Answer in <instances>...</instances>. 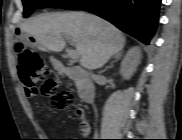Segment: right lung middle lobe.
Listing matches in <instances>:
<instances>
[{
	"mask_svg": "<svg viewBox=\"0 0 182 140\" xmlns=\"http://www.w3.org/2000/svg\"><path fill=\"white\" fill-rule=\"evenodd\" d=\"M94 1L95 0H23L24 17H28L37 8L52 7L79 10Z\"/></svg>",
	"mask_w": 182,
	"mask_h": 140,
	"instance_id": "right-lung-middle-lobe-1",
	"label": "right lung middle lobe"
}]
</instances>
